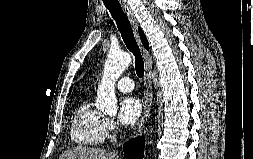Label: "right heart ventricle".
<instances>
[{"label": "right heart ventricle", "instance_id": "1", "mask_svg": "<svg viewBox=\"0 0 253 159\" xmlns=\"http://www.w3.org/2000/svg\"><path fill=\"white\" fill-rule=\"evenodd\" d=\"M105 117L88 99L83 100L74 110L70 120V138L80 147H94L102 144L106 137Z\"/></svg>", "mask_w": 253, "mask_h": 159}]
</instances>
